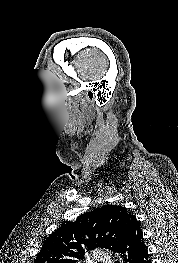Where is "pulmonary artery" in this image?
I'll list each match as a JSON object with an SVG mask.
<instances>
[{
  "instance_id": "obj_1",
  "label": "pulmonary artery",
  "mask_w": 178,
  "mask_h": 263,
  "mask_svg": "<svg viewBox=\"0 0 178 263\" xmlns=\"http://www.w3.org/2000/svg\"><path fill=\"white\" fill-rule=\"evenodd\" d=\"M93 257L97 260L100 261L102 263H111V260L109 259V257L107 256V254H105L102 250L100 249H95L93 251Z\"/></svg>"
}]
</instances>
